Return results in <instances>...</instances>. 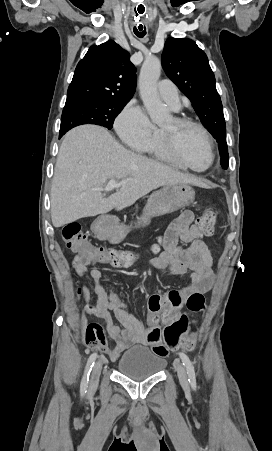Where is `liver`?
<instances>
[{
  "mask_svg": "<svg viewBox=\"0 0 272 451\" xmlns=\"http://www.w3.org/2000/svg\"><path fill=\"white\" fill-rule=\"evenodd\" d=\"M117 178L120 190L104 198L99 188ZM167 184L202 186L178 170L129 152L101 126H78L67 132L60 146L51 186V220L55 227L79 218L123 210Z\"/></svg>",
  "mask_w": 272,
  "mask_h": 451,
  "instance_id": "1",
  "label": "liver"
}]
</instances>
